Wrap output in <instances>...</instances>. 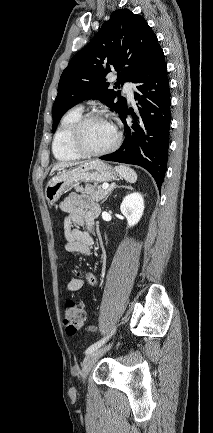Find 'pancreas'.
<instances>
[{"mask_svg": "<svg viewBox=\"0 0 213 433\" xmlns=\"http://www.w3.org/2000/svg\"><path fill=\"white\" fill-rule=\"evenodd\" d=\"M75 190L81 194L89 195L96 202H99L106 196V190L97 184H88L85 186V188L76 185Z\"/></svg>", "mask_w": 213, "mask_h": 433, "instance_id": "cf45deb5", "label": "pancreas"}]
</instances>
